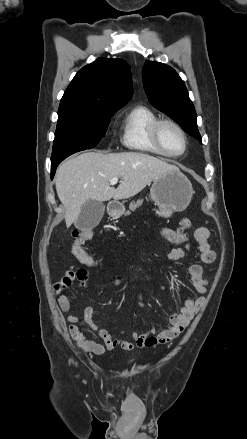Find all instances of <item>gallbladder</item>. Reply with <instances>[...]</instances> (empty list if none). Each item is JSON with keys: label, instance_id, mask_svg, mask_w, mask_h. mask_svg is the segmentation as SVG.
Returning a JSON list of instances; mask_svg holds the SVG:
<instances>
[{"label": "gallbladder", "instance_id": "1", "mask_svg": "<svg viewBox=\"0 0 247 439\" xmlns=\"http://www.w3.org/2000/svg\"><path fill=\"white\" fill-rule=\"evenodd\" d=\"M105 211L102 202L96 200H88L81 208V212L74 222L75 227L80 230L93 229L101 221Z\"/></svg>", "mask_w": 247, "mask_h": 439}]
</instances>
